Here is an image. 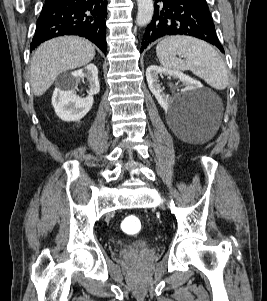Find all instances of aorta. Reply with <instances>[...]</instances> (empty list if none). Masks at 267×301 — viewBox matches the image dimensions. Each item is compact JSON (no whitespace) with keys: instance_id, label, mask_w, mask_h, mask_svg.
Returning a JSON list of instances; mask_svg holds the SVG:
<instances>
[{"instance_id":"aorta-1","label":"aorta","mask_w":267,"mask_h":301,"mask_svg":"<svg viewBox=\"0 0 267 301\" xmlns=\"http://www.w3.org/2000/svg\"><path fill=\"white\" fill-rule=\"evenodd\" d=\"M137 5L138 13L136 17V22L139 26H145L148 23H150L153 17V0H137Z\"/></svg>"}]
</instances>
